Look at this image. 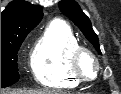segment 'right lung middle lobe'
<instances>
[{
    "label": "right lung middle lobe",
    "mask_w": 121,
    "mask_h": 94,
    "mask_svg": "<svg viewBox=\"0 0 121 94\" xmlns=\"http://www.w3.org/2000/svg\"><path fill=\"white\" fill-rule=\"evenodd\" d=\"M29 31L1 39V88L8 87L19 80L17 52Z\"/></svg>",
    "instance_id": "obj_1"
}]
</instances>
